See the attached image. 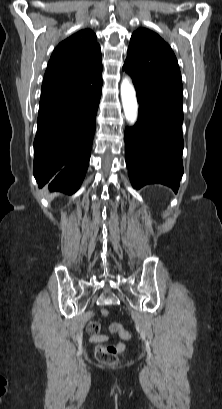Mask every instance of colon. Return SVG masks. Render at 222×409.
Wrapping results in <instances>:
<instances>
[{"instance_id": "1", "label": "colon", "mask_w": 222, "mask_h": 409, "mask_svg": "<svg viewBox=\"0 0 222 409\" xmlns=\"http://www.w3.org/2000/svg\"><path fill=\"white\" fill-rule=\"evenodd\" d=\"M108 314V310H102L103 316H108ZM110 331L119 334L124 340H129L131 338V333L127 331L120 323H112L110 325ZM123 350L124 344L121 342L116 344L100 345L96 349V355L99 361L105 364H115Z\"/></svg>"}]
</instances>
